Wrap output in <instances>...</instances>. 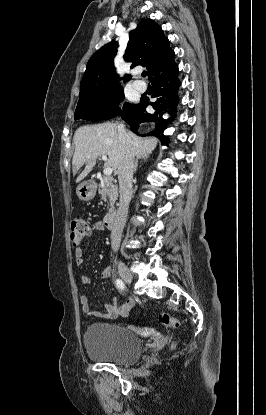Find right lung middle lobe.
Wrapping results in <instances>:
<instances>
[{
  "label": "right lung middle lobe",
  "instance_id": "obj_1",
  "mask_svg": "<svg viewBox=\"0 0 266 415\" xmlns=\"http://www.w3.org/2000/svg\"><path fill=\"white\" fill-rule=\"evenodd\" d=\"M123 99L124 93L121 86L80 97L74 118L75 120L82 119L87 121H101L114 118L133 105L126 103L123 106V111H121L118 108V102L123 101ZM108 106H111V108Z\"/></svg>",
  "mask_w": 266,
  "mask_h": 415
}]
</instances>
